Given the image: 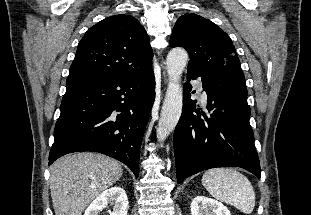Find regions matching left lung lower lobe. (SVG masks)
Here are the masks:
<instances>
[{"mask_svg":"<svg viewBox=\"0 0 311 215\" xmlns=\"http://www.w3.org/2000/svg\"><path fill=\"white\" fill-rule=\"evenodd\" d=\"M183 111L174 131L177 181L215 167H241L260 178L247 95L224 89L195 66L187 69ZM202 78L207 113L196 108L190 81ZM193 93V92H192Z\"/></svg>","mask_w":311,"mask_h":215,"instance_id":"left-lung-lower-lobe-1","label":"left lung lower lobe"}]
</instances>
